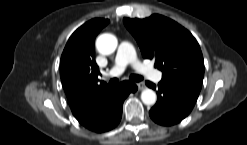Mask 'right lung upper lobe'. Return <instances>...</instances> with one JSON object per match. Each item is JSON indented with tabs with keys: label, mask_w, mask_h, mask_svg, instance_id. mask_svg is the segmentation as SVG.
Masks as SVG:
<instances>
[{
	"label": "right lung upper lobe",
	"mask_w": 247,
	"mask_h": 145,
	"mask_svg": "<svg viewBox=\"0 0 247 145\" xmlns=\"http://www.w3.org/2000/svg\"><path fill=\"white\" fill-rule=\"evenodd\" d=\"M108 19L95 18L79 27L69 38L61 56L60 76L72 113L81 112L112 87L98 84L94 40Z\"/></svg>",
	"instance_id": "cb5924a9"
}]
</instances>
